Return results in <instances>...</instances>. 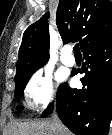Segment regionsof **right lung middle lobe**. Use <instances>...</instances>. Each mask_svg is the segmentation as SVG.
<instances>
[{
	"mask_svg": "<svg viewBox=\"0 0 112 135\" xmlns=\"http://www.w3.org/2000/svg\"><path fill=\"white\" fill-rule=\"evenodd\" d=\"M33 73L30 74H23L20 76L15 77V98L20 99L24 96V88L27 82L29 81L30 77L32 76ZM18 111L23 110V107L19 106L17 107Z\"/></svg>",
	"mask_w": 112,
	"mask_h": 135,
	"instance_id": "right-lung-middle-lobe-1",
	"label": "right lung middle lobe"
}]
</instances>
